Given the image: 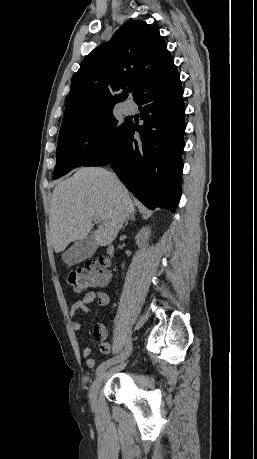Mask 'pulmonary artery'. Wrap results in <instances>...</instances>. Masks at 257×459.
I'll return each mask as SVG.
<instances>
[{
	"instance_id": "1",
	"label": "pulmonary artery",
	"mask_w": 257,
	"mask_h": 459,
	"mask_svg": "<svg viewBox=\"0 0 257 459\" xmlns=\"http://www.w3.org/2000/svg\"><path fill=\"white\" fill-rule=\"evenodd\" d=\"M124 114L130 115L135 110V105L132 102H127L122 107Z\"/></svg>"
}]
</instances>
